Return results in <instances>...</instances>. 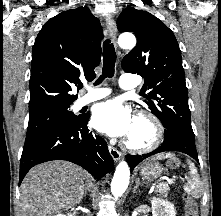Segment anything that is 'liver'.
I'll return each mask as SVG.
<instances>
[{
    "mask_svg": "<svg viewBox=\"0 0 221 216\" xmlns=\"http://www.w3.org/2000/svg\"><path fill=\"white\" fill-rule=\"evenodd\" d=\"M88 174L67 161H50L33 167L20 187L22 216H55L78 205Z\"/></svg>",
    "mask_w": 221,
    "mask_h": 216,
    "instance_id": "6515ba94",
    "label": "liver"
}]
</instances>
